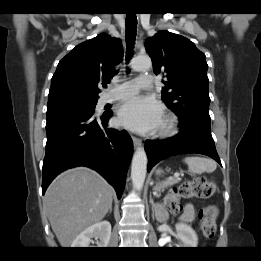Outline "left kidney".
Segmentation results:
<instances>
[{"mask_svg": "<svg viewBox=\"0 0 261 261\" xmlns=\"http://www.w3.org/2000/svg\"><path fill=\"white\" fill-rule=\"evenodd\" d=\"M178 244L180 248H195L198 244V237L191 226L184 223L176 224Z\"/></svg>", "mask_w": 261, "mask_h": 261, "instance_id": "1", "label": "left kidney"}]
</instances>
